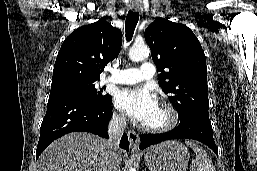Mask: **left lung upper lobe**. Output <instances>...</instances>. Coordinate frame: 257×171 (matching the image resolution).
<instances>
[{
  "label": "left lung upper lobe",
  "instance_id": "5c2ea615",
  "mask_svg": "<svg viewBox=\"0 0 257 171\" xmlns=\"http://www.w3.org/2000/svg\"><path fill=\"white\" fill-rule=\"evenodd\" d=\"M145 40L161 72L159 84L180 119L193 114L209 116L206 58L191 29L157 18L145 30Z\"/></svg>",
  "mask_w": 257,
  "mask_h": 171
}]
</instances>
